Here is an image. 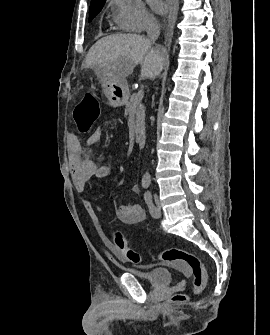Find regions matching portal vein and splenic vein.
I'll use <instances>...</instances> for the list:
<instances>
[{"label":"portal vein and splenic vein","instance_id":"1","mask_svg":"<svg viewBox=\"0 0 270 335\" xmlns=\"http://www.w3.org/2000/svg\"><path fill=\"white\" fill-rule=\"evenodd\" d=\"M135 96H136V100L137 101H142L143 100V96H144V90L142 88H139L136 91Z\"/></svg>","mask_w":270,"mask_h":335}]
</instances>
